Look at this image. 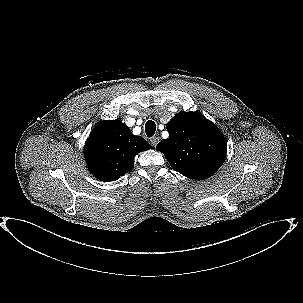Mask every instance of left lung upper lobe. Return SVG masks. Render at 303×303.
I'll use <instances>...</instances> for the list:
<instances>
[{
  "label": "left lung upper lobe",
  "mask_w": 303,
  "mask_h": 303,
  "mask_svg": "<svg viewBox=\"0 0 303 303\" xmlns=\"http://www.w3.org/2000/svg\"><path fill=\"white\" fill-rule=\"evenodd\" d=\"M169 138L156 149L173 170L196 180L214 175L226 157V140L218 127L196 112H179L166 125Z\"/></svg>",
  "instance_id": "left-lung-upper-lobe-1"
}]
</instances>
